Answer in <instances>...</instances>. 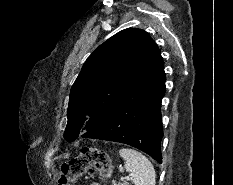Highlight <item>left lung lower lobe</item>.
Segmentation results:
<instances>
[{
	"mask_svg": "<svg viewBox=\"0 0 233 185\" xmlns=\"http://www.w3.org/2000/svg\"><path fill=\"white\" fill-rule=\"evenodd\" d=\"M165 81L161 60L124 93L100 125L81 137L125 143L162 163L161 100Z\"/></svg>",
	"mask_w": 233,
	"mask_h": 185,
	"instance_id": "left-lung-lower-lobe-1",
	"label": "left lung lower lobe"
}]
</instances>
